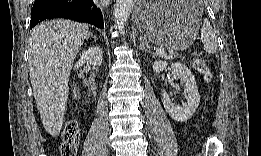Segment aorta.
<instances>
[{
    "label": "aorta",
    "mask_w": 261,
    "mask_h": 156,
    "mask_svg": "<svg viewBox=\"0 0 261 156\" xmlns=\"http://www.w3.org/2000/svg\"><path fill=\"white\" fill-rule=\"evenodd\" d=\"M133 8V0H116L114 5L115 29L122 30Z\"/></svg>",
    "instance_id": "762f6f07"
}]
</instances>
